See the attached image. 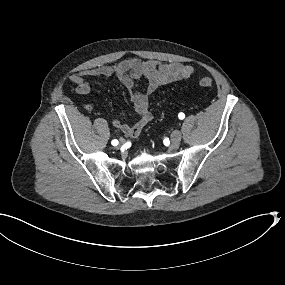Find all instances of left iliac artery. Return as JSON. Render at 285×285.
<instances>
[{
	"label": "left iliac artery",
	"instance_id": "left-iliac-artery-1",
	"mask_svg": "<svg viewBox=\"0 0 285 285\" xmlns=\"http://www.w3.org/2000/svg\"><path fill=\"white\" fill-rule=\"evenodd\" d=\"M178 117H179V119L182 120V119L185 118V114L181 112V113L178 114Z\"/></svg>",
	"mask_w": 285,
	"mask_h": 285
}]
</instances>
